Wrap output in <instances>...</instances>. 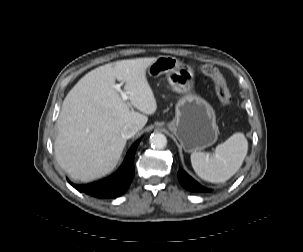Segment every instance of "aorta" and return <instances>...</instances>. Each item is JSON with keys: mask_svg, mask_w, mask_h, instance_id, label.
Here are the masks:
<instances>
[{"mask_svg": "<svg viewBox=\"0 0 303 252\" xmlns=\"http://www.w3.org/2000/svg\"><path fill=\"white\" fill-rule=\"evenodd\" d=\"M149 142L154 149H163L167 145V138L164 134L153 133L150 136Z\"/></svg>", "mask_w": 303, "mask_h": 252, "instance_id": "aorta-1", "label": "aorta"}]
</instances>
